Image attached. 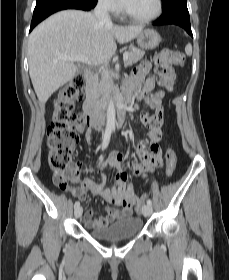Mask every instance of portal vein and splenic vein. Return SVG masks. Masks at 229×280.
I'll list each match as a JSON object with an SVG mask.
<instances>
[{
	"instance_id": "portal-vein-and-splenic-vein-1",
	"label": "portal vein and splenic vein",
	"mask_w": 229,
	"mask_h": 280,
	"mask_svg": "<svg viewBox=\"0 0 229 280\" xmlns=\"http://www.w3.org/2000/svg\"><path fill=\"white\" fill-rule=\"evenodd\" d=\"M129 57V53L126 51L123 54V61L124 63H126V61L128 60ZM60 59L62 60H68V61H72V62H81L90 66H96L97 64L91 62L88 58L84 57V56H80V55H75V56H67V55H61ZM103 72L106 73V71L103 69Z\"/></svg>"
}]
</instances>
